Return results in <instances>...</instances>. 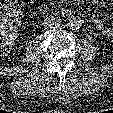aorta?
<instances>
[{"label":"aorta","mask_w":113,"mask_h":113,"mask_svg":"<svg viewBox=\"0 0 113 113\" xmlns=\"http://www.w3.org/2000/svg\"><path fill=\"white\" fill-rule=\"evenodd\" d=\"M67 25L72 30H77L82 26V20L78 16H71L68 19Z\"/></svg>","instance_id":"762f6f07"}]
</instances>
